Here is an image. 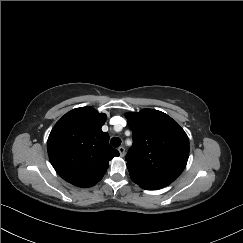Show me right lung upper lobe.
Segmentation results:
<instances>
[{
    "label": "right lung upper lobe",
    "mask_w": 243,
    "mask_h": 243,
    "mask_svg": "<svg viewBox=\"0 0 243 243\" xmlns=\"http://www.w3.org/2000/svg\"><path fill=\"white\" fill-rule=\"evenodd\" d=\"M106 115L92 107L66 113L53 127L47 142L50 162L67 182L91 187L104 176L108 162L119 152L101 130Z\"/></svg>",
    "instance_id": "1"
}]
</instances>
